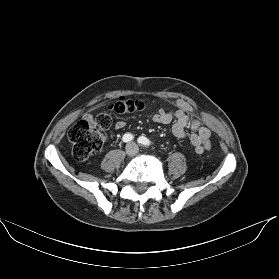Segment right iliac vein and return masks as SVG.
Instances as JSON below:
<instances>
[{"mask_svg":"<svg viewBox=\"0 0 279 279\" xmlns=\"http://www.w3.org/2000/svg\"><path fill=\"white\" fill-rule=\"evenodd\" d=\"M125 152H126V154H127L128 156H132V155L134 154V152H135V147H134V145L129 144V145L126 147Z\"/></svg>","mask_w":279,"mask_h":279,"instance_id":"obj_1","label":"right iliac vein"}]
</instances>
